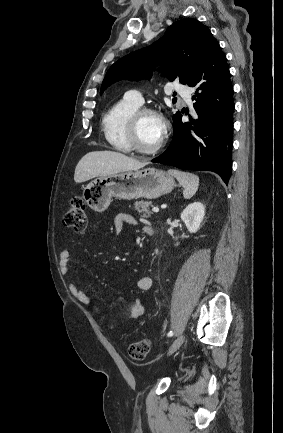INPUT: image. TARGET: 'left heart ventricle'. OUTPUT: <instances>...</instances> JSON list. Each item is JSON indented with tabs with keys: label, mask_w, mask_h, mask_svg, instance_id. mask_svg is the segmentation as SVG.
<instances>
[{
	"label": "left heart ventricle",
	"mask_w": 283,
	"mask_h": 433,
	"mask_svg": "<svg viewBox=\"0 0 283 433\" xmlns=\"http://www.w3.org/2000/svg\"><path fill=\"white\" fill-rule=\"evenodd\" d=\"M163 132V122L153 114L145 115L139 124L138 139L141 147L154 151L158 147Z\"/></svg>",
	"instance_id": "b2bd125f"
}]
</instances>
